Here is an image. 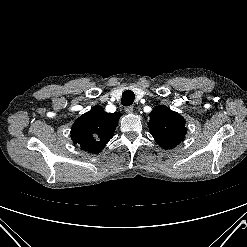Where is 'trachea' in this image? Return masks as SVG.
Segmentation results:
<instances>
[{"instance_id": "1", "label": "trachea", "mask_w": 247, "mask_h": 247, "mask_svg": "<svg viewBox=\"0 0 247 247\" xmlns=\"http://www.w3.org/2000/svg\"><path fill=\"white\" fill-rule=\"evenodd\" d=\"M135 95L134 92L131 90H126L122 94V105L130 106L134 102Z\"/></svg>"}]
</instances>
